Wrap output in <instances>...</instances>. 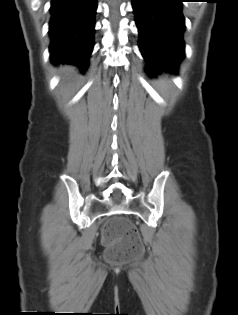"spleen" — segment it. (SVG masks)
<instances>
[{"label":"spleen","instance_id":"3e777b00","mask_svg":"<svg viewBox=\"0 0 238 315\" xmlns=\"http://www.w3.org/2000/svg\"><path fill=\"white\" fill-rule=\"evenodd\" d=\"M167 85H168V82L166 81V79L163 78V79L160 80L161 88H166Z\"/></svg>","mask_w":238,"mask_h":315}]
</instances>
